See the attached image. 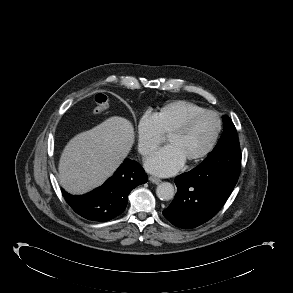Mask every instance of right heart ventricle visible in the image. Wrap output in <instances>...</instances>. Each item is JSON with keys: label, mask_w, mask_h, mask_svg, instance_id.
Returning <instances> with one entry per match:
<instances>
[{"label": "right heart ventricle", "mask_w": 293, "mask_h": 293, "mask_svg": "<svg viewBox=\"0 0 293 293\" xmlns=\"http://www.w3.org/2000/svg\"><path fill=\"white\" fill-rule=\"evenodd\" d=\"M205 110L188 100H174L164 104L153 113L162 135H168L181 125L190 115Z\"/></svg>", "instance_id": "1"}]
</instances>
